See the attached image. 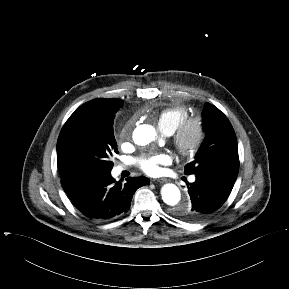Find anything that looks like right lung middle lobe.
I'll list each match as a JSON object with an SVG mask.
<instances>
[{"label": "right lung middle lobe", "instance_id": "1", "mask_svg": "<svg viewBox=\"0 0 289 289\" xmlns=\"http://www.w3.org/2000/svg\"><path fill=\"white\" fill-rule=\"evenodd\" d=\"M122 104L120 99L97 98L69 117L57 141L60 175L82 182L110 174V157L118 153L113 122Z\"/></svg>", "mask_w": 289, "mask_h": 289}]
</instances>
